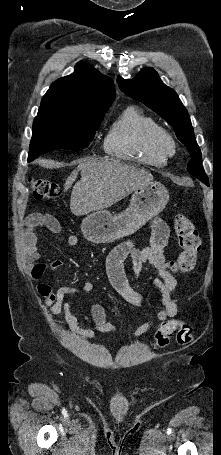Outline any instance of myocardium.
<instances>
[{
  "label": "myocardium",
  "mask_w": 221,
  "mask_h": 455,
  "mask_svg": "<svg viewBox=\"0 0 221 455\" xmlns=\"http://www.w3.org/2000/svg\"><path fill=\"white\" fill-rule=\"evenodd\" d=\"M160 148L165 152L166 155H172L175 152V142L172 137L161 129L157 137Z\"/></svg>",
  "instance_id": "myocardium-1"
}]
</instances>
